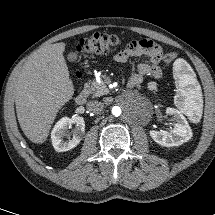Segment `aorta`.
<instances>
[{"instance_id": "obj_1", "label": "aorta", "mask_w": 215, "mask_h": 215, "mask_svg": "<svg viewBox=\"0 0 215 215\" xmlns=\"http://www.w3.org/2000/svg\"><path fill=\"white\" fill-rule=\"evenodd\" d=\"M113 114H114L115 116L120 115V114H121V109H120L119 107H114V108H113Z\"/></svg>"}]
</instances>
